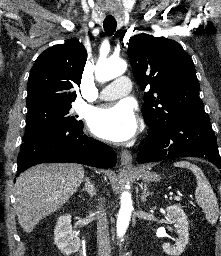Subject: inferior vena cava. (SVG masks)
<instances>
[{
    "label": "inferior vena cava",
    "mask_w": 221,
    "mask_h": 256,
    "mask_svg": "<svg viewBox=\"0 0 221 256\" xmlns=\"http://www.w3.org/2000/svg\"><path fill=\"white\" fill-rule=\"evenodd\" d=\"M104 199H99V206L97 212V245H98V255L99 256H110V239L108 231V221L103 208Z\"/></svg>",
    "instance_id": "1"
}]
</instances>
